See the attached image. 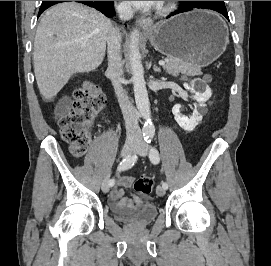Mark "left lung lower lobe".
I'll return each mask as SVG.
<instances>
[{
	"label": "left lung lower lobe",
	"instance_id": "left-lung-lower-lobe-1",
	"mask_svg": "<svg viewBox=\"0 0 271 266\" xmlns=\"http://www.w3.org/2000/svg\"><path fill=\"white\" fill-rule=\"evenodd\" d=\"M193 9H194L193 7H188V6L180 5L178 7V10L175 11V12H173V13H171L169 16H167V18H169L171 16H174L176 14L182 13V12L193 10ZM219 13H221L224 17H226L227 19H229L227 11H223V12H219Z\"/></svg>",
	"mask_w": 271,
	"mask_h": 266
}]
</instances>
